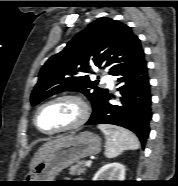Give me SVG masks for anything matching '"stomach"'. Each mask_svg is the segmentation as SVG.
<instances>
[{
	"label": "stomach",
	"instance_id": "stomach-1",
	"mask_svg": "<svg viewBox=\"0 0 178 186\" xmlns=\"http://www.w3.org/2000/svg\"><path fill=\"white\" fill-rule=\"evenodd\" d=\"M101 150L100 137L90 131H84L70 137L50 151L27 175L26 181H54L65 168L80 159L95 155ZM29 185H48L49 182H29Z\"/></svg>",
	"mask_w": 178,
	"mask_h": 186
}]
</instances>
